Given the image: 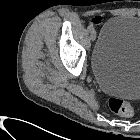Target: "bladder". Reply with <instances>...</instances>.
Here are the masks:
<instances>
[{
	"label": "bladder",
	"mask_w": 140,
	"mask_h": 140,
	"mask_svg": "<svg viewBox=\"0 0 140 140\" xmlns=\"http://www.w3.org/2000/svg\"><path fill=\"white\" fill-rule=\"evenodd\" d=\"M91 70L107 93L140 97V16L118 15L100 32L91 54Z\"/></svg>",
	"instance_id": "1"
}]
</instances>
